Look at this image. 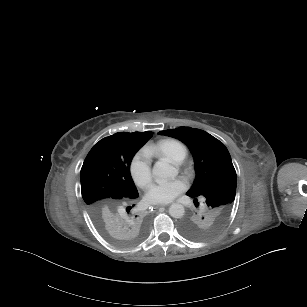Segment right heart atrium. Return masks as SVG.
I'll return each mask as SVG.
<instances>
[{"mask_svg":"<svg viewBox=\"0 0 307 307\" xmlns=\"http://www.w3.org/2000/svg\"><path fill=\"white\" fill-rule=\"evenodd\" d=\"M129 167L131 176L137 184H144L150 179L151 162L144 151L140 150L132 156Z\"/></svg>","mask_w":307,"mask_h":307,"instance_id":"d8ad5b80","label":"right heart atrium"}]
</instances>
